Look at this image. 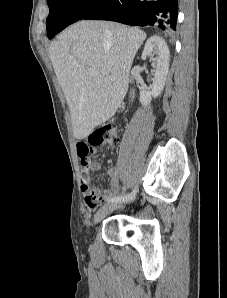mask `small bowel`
Masks as SVG:
<instances>
[{
	"label": "small bowel",
	"mask_w": 227,
	"mask_h": 298,
	"mask_svg": "<svg viewBox=\"0 0 227 298\" xmlns=\"http://www.w3.org/2000/svg\"><path fill=\"white\" fill-rule=\"evenodd\" d=\"M77 155L80 158L81 167H82V175H81V185L84 194L86 193L84 184H87L89 189L98 197V201L95 205H91L86 202L87 206L91 209L95 208L97 204L102 200H107L111 198V196L118 190L119 182H118V170L116 168H110L107 170V174L110 177V189H105L101 192L96 187H90L89 185V177L88 171H99L102 169L101 164L98 162H91L89 160L90 155H94L97 150L96 146H89V142H86L85 139H78L77 143Z\"/></svg>",
	"instance_id": "small-bowel-1"
}]
</instances>
